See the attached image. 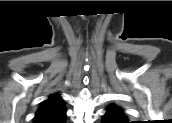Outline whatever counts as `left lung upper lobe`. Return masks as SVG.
<instances>
[{"mask_svg":"<svg viewBox=\"0 0 172 123\" xmlns=\"http://www.w3.org/2000/svg\"><path fill=\"white\" fill-rule=\"evenodd\" d=\"M104 120L109 123H127V118L124 116L123 110L114 104L108 106Z\"/></svg>","mask_w":172,"mask_h":123,"instance_id":"5c2ea615","label":"left lung upper lobe"}]
</instances>
